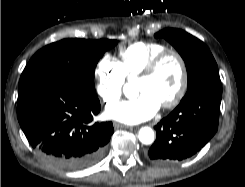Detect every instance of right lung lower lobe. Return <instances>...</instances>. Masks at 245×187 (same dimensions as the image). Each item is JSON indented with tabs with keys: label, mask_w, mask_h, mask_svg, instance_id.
<instances>
[{
	"label": "right lung lower lobe",
	"mask_w": 245,
	"mask_h": 187,
	"mask_svg": "<svg viewBox=\"0 0 245 187\" xmlns=\"http://www.w3.org/2000/svg\"><path fill=\"white\" fill-rule=\"evenodd\" d=\"M94 93L59 81L19 88L17 117L29 143L48 162L78 170L97 162L114 132L111 122L92 124L100 112Z\"/></svg>",
	"instance_id": "right-lung-lower-lobe-1"
}]
</instances>
